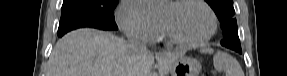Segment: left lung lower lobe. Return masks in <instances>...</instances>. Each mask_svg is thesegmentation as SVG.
<instances>
[{
    "label": "left lung lower lobe",
    "mask_w": 287,
    "mask_h": 76,
    "mask_svg": "<svg viewBox=\"0 0 287 76\" xmlns=\"http://www.w3.org/2000/svg\"><path fill=\"white\" fill-rule=\"evenodd\" d=\"M235 51L241 53V49H234Z\"/></svg>",
    "instance_id": "1"
}]
</instances>
